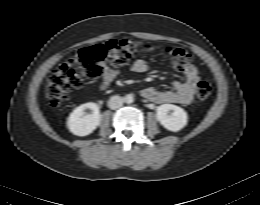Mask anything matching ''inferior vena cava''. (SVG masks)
Masks as SVG:
<instances>
[{"label": "inferior vena cava", "mask_w": 260, "mask_h": 205, "mask_svg": "<svg viewBox=\"0 0 260 205\" xmlns=\"http://www.w3.org/2000/svg\"><path fill=\"white\" fill-rule=\"evenodd\" d=\"M124 99L120 96H112L108 101V106L110 109L115 110L123 105Z\"/></svg>", "instance_id": "602c4592"}]
</instances>
